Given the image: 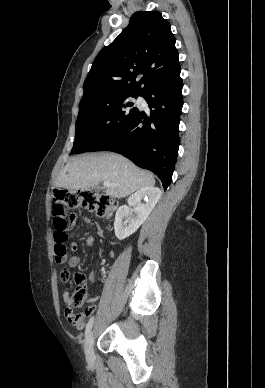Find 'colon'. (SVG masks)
<instances>
[{
	"label": "colon",
	"mask_w": 265,
	"mask_h": 388,
	"mask_svg": "<svg viewBox=\"0 0 265 388\" xmlns=\"http://www.w3.org/2000/svg\"><path fill=\"white\" fill-rule=\"evenodd\" d=\"M77 207H83L94 212L100 217H109L116 208V202L113 198L99 194L93 190H75L68 191L57 189L54 192L53 201V220H54V255L57 263H63L67 258V233L70 227V210ZM65 279H69V274H63ZM76 288L66 301L65 316L67 320L77 325L82 319V314L74 310L83 304L87 297V289L84 285V276L76 273L73 277Z\"/></svg>",
	"instance_id": "colon-1"
}]
</instances>
